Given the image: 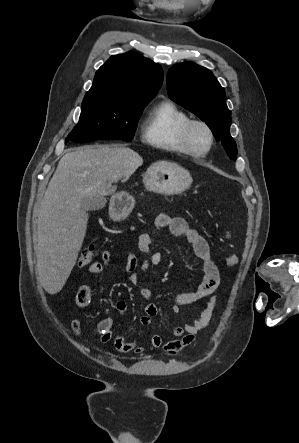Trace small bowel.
Listing matches in <instances>:
<instances>
[{
    "instance_id": "1",
    "label": "small bowel",
    "mask_w": 299,
    "mask_h": 443,
    "mask_svg": "<svg viewBox=\"0 0 299 443\" xmlns=\"http://www.w3.org/2000/svg\"><path fill=\"white\" fill-rule=\"evenodd\" d=\"M155 231L158 232L164 228H169L174 236L184 237L192 246L195 255L201 260L204 269V277L196 291L180 293L175 298L172 307L174 313H178L181 307L192 305L202 298L207 297L206 307L201 313L198 321L185 324L183 326H174L170 329L171 337H180L164 341L158 334H152L149 338V350L163 349L168 354H175L183 348L190 345L195 336L209 324L217 303V292L220 287V272L215 263L208 242L195 229L190 227L188 223L181 217H172L167 214H160L154 220ZM152 238L150 234L144 232L138 236L137 247L139 251L146 256L141 264L138 262L136 255L130 251L126 252L125 262L122 269L131 273L129 281L132 285H136L140 280V271H145L152 266L158 265L162 256L159 252L154 251L151 247ZM111 255L109 251L101 253V262H93L88 266V272L91 275H99L104 268H111ZM139 294L145 300V313L140 318V323L148 326L152 323L153 317L158 313V307L151 302L152 293L146 287L139 289ZM92 299V289L89 285H82L76 296V306L78 309H86ZM115 309L119 315L127 312V305L123 301L115 304ZM115 322L111 317L102 319L98 323V332L102 343H112L113 347L122 353H142L145 348L142 347L138 340L127 341L120 334L114 333ZM72 331L76 335L81 333L80 321L74 319L71 322Z\"/></svg>"
}]
</instances>
